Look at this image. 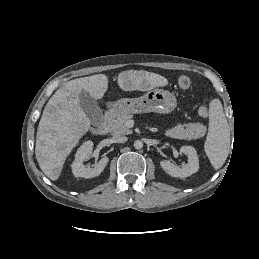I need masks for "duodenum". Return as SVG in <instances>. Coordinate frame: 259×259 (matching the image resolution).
<instances>
[{
  "label": "duodenum",
  "mask_w": 259,
  "mask_h": 259,
  "mask_svg": "<svg viewBox=\"0 0 259 259\" xmlns=\"http://www.w3.org/2000/svg\"><path fill=\"white\" fill-rule=\"evenodd\" d=\"M114 115V110L109 109L106 111L105 116H104V121L101 122L98 125L92 126L90 128L91 132L96 135H104L107 132V123L108 121L112 118Z\"/></svg>",
  "instance_id": "410a0bca"
}]
</instances>
